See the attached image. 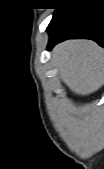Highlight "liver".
Masks as SVG:
<instances>
[{
    "label": "liver",
    "instance_id": "1",
    "mask_svg": "<svg viewBox=\"0 0 104 169\" xmlns=\"http://www.w3.org/2000/svg\"><path fill=\"white\" fill-rule=\"evenodd\" d=\"M53 58L67 87L78 95H89L103 85L104 53L90 40H68L57 45Z\"/></svg>",
    "mask_w": 104,
    "mask_h": 169
}]
</instances>
